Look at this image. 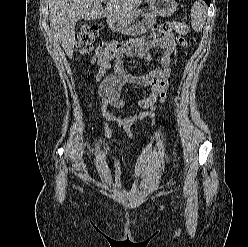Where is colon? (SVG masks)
<instances>
[{"instance_id":"obj_1","label":"colon","mask_w":248,"mask_h":247,"mask_svg":"<svg viewBox=\"0 0 248 247\" xmlns=\"http://www.w3.org/2000/svg\"><path fill=\"white\" fill-rule=\"evenodd\" d=\"M176 32L180 35H187L190 32L189 26L184 22L166 21L155 26L152 30L151 36L155 38H162ZM98 35V28L94 25H85L82 27L78 35L76 50L80 54H86L93 48V42ZM128 46V42L109 41L101 43L95 53L94 61L99 63L108 55L124 51Z\"/></svg>"}]
</instances>
